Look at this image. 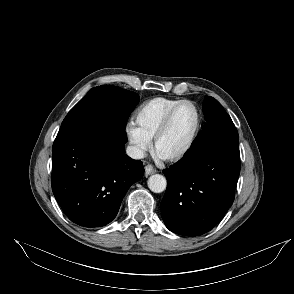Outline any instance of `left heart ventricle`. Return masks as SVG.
Instances as JSON below:
<instances>
[{
	"instance_id": "b2bd125f",
	"label": "left heart ventricle",
	"mask_w": 294,
	"mask_h": 294,
	"mask_svg": "<svg viewBox=\"0 0 294 294\" xmlns=\"http://www.w3.org/2000/svg\"><path fill=\"white\" fill-rule=\"evenodd\" d=\"M197 115L190 104L182 105L175 113L169 129L158 145V153L167 157L180 151L189 141L196 126Z\"/></svg>"
}]
</instances>
